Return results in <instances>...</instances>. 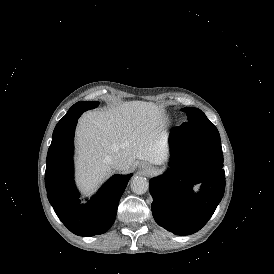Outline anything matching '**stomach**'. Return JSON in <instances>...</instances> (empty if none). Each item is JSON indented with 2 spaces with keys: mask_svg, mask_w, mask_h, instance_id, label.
<instances>
[{
  "mask_svg": "<svg viewBox=\"0 0 274 274\" xmlns=\"http://www.w3.org/2000/svg\"><path fill=\"white\" fill-rule=\"evenodd\" d=\"M160 172H161V170H160L158 167L152 166V171H151L150 176L157 175V174H159Z\"/></svg>",
  "mask_w": 274,
  "mask_h": 274,
  "instance_id": "stomach-1",
  "label": "stomach"
}]
</instances>
